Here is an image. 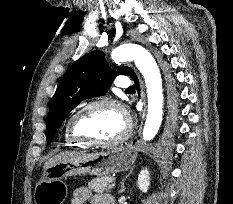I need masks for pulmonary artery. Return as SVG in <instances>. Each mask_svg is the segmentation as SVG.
Returning <instances> with one entry per match:
<instances>
[{
  "instance_id": "e3ab8cb5",
  "label": "pulmonary artery",
  "mask_w": 233,
  "mask_h": 204,
  "mask_svg": "<svg viewBox=\"0 0 233 204\" xmlns=\"http://www.w3.org/2000/svg\"><path fill=\"white\" fill-rule=\"evenodd\" d=\"M117 86L120 88H129L131 86V79L128 76H120L117 80Z\"/></svg>"
}]
</instances>
